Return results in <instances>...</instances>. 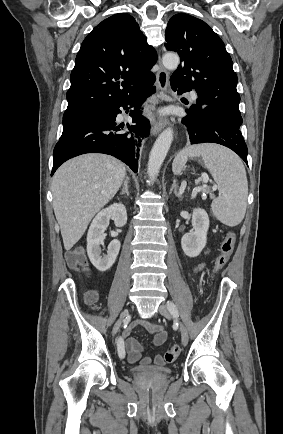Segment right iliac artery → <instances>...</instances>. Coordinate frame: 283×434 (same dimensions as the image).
Instances as JSON below:
<instances>
[{
    "mask_svg": "<svg viewBox=\"0 0 283 434\" xmlns=\"http://www.w3.org/2000/svg\"><path fill=\"white\" fill-rule=\"evenodd\" d=\"M122 347H123L122 346V339L119 338L118 341H117V350H118V355H119L120 358H124V356H125L124 351L120 350Z\"/></svg>",
    "mask_w": 283,
    "mask_h": 434,
    "instance_id": "82829eb1",
    "label": "right iliac artery"
}]
</instances>
